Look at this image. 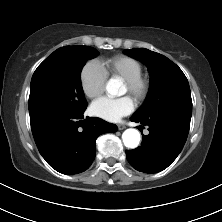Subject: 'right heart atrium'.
I'll return each mask as SVG.
<instances>
[{
    "instance_id": "obj_1",
    "label": "right heart atrium",
    "mask_w": 222,
    "mask_h": 222,
    "mask_svg": "<svg viewBox=\"0 0 222 222\" xmlns=\"http://www.w3.org/2000/svg\"><path fill=\"white\" fill-rule=\"evenodd\" d=\"M107 76L97 61H88L80 71V85L88 98L99 96L105 87Z\"/></svg>"
}]
</instances>
